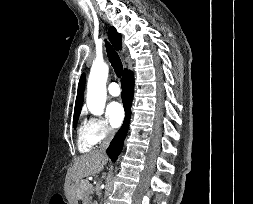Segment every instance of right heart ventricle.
<instances>
[{"label":"right heart ventricle","mask_w":253,"mask_h":204,"mask_svg":"<svg viewBox=\"0 0 253 204\" xmlns=\"http://www.w3.org/2000/svg\"><path fill=\"white\" fill-rule=\"evenodd\" d=\"M77 146H78L79 151L81 152L90 151L92 147L94 146V143L92 142L90 138L86 123H81V125L78 128Z\"/></svg>","instance_id":"e07e8e85"}]
</instances>
